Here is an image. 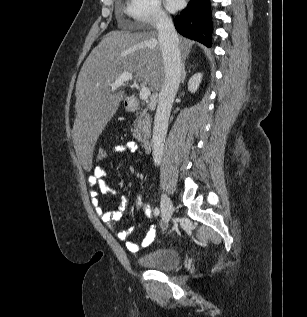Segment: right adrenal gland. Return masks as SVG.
I'll return each instance as SVG.
<instances>
[{
	"instance_id": "right-adrenal-gland-1",
	"label": "right adrenal gland",
	"mask_w": 307,
	"mask_h": 317,
	"mask_svg": "<svg viewBox=\"0 0 307 317\" xmlns=\"http://www.w3.org/2000/svg\"><path fill=\"white\" fill-rule=\"evenodd\" d=\"M185 60V59H184ZM186 78V70H185V63L182 64V77H181V83H184V80Z\"/></svg>"
}]
</instances>
